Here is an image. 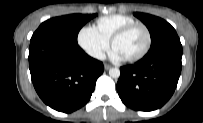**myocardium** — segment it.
I'll return each instance as SVG.
<instances>
[{"mask_svg":"<svg viewBox=\"0 0 203 123\" xmlns=\"http://www.w3.org/2000/svg\"><path fill=\"white\" fill-rule=\"evenodd\" d=\"M138 27L142 28L146 34V44H145L144 48L142 49V51H140L138 54H136L132 57H129V58H125V60L129 61V62L138 61L149 52V50L151 48V44H152V37H151V32H150L149 28L144 23L135 22V23L122 27L111 38V46L114 48V44L119 38L125 36L131 30L138 28Z\"/></svg>","mask_w":203,"mask_h":123,"instance_id":"1","label":"myocardium"}]
</instances>
